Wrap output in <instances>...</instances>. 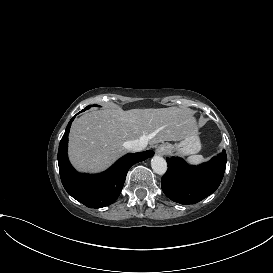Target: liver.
<instances>
[{"instance_id": "6515ba94", "label": "liver", "mask_w": 273, "mask_h": 273, "mask_svg": "<svg viewBox=\"0 0 273 273\" xmlns=\"http://www.w3.org/2000/svg\"><path fill=\"white\" fill-rule=\"evenodd\" d=\"M199 132L194 111L186 107L97 109L83 114L71 125L68 160L80 174H98L127 154V141L143 140L153 145L198 139Z\"/></svg>"}]
</instances>
